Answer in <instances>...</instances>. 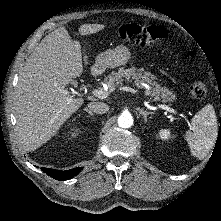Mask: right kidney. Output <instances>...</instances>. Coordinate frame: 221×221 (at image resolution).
<instances>
[{"instance_id": "ca27d5eb", "label": "right kidney", "mask_w": 221, "mask_h": 221, "mask_svg": "<svg viewBox=\"0 0 221 221\" xmlns=\"http://www.w3.org/2000/svg\"><path fill=\"white\" fill-rule=\"evenodd\" d=\"M77 134V129L75 130V129H72V131H71V135L72 136H75Z\"/></svg>"}]
</instances>
